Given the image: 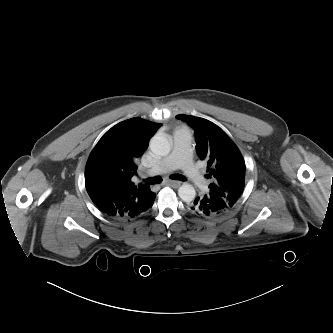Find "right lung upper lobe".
<instances>
[{"mask_svg":"<svg viewBox=\"0 0 333 333\" xmlns=\"http://www.w3.org/2000/svg\"><path fill=\"white\" fill-rule=\"evenodd\" d=\"M160 126L136 117L116 124L102 136L85 169V186L94 204L113 201L127 208L147 206L150 187L135 185L131 178L136 174L137 158Z\"/></svg>","mask_w":333,"mask_h":333,"instance_id":"cb5924a9","label":"right lung upper lobe"}]
</instances>
